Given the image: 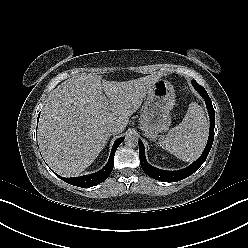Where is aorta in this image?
Here are the masks:
<instances>
[{
	"label": "aorta",
	"mask_w": 248,
	"mask_h": 248,
	"mask_svg": "<svg viewBox=\"0 0 248 248\" xmlns=\"http://www.w3.org/2000/svg\"><path fill=\"white\" fill-rule=\"evenodd\" d=\"M138 142H139V138H138V135L136 133L129 132L126 134V137H125V145L126 146L133 148V147H136L138 145Z\"/></svg>",
	"instance_id": "obj_1"
}]
</instances>
